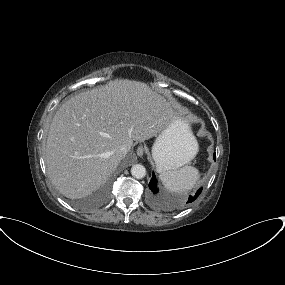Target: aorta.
<instances>
[{
    "mask_svg": "<svg viewBox=\"0 0 285 285\" xmlns=\"http://www.w3.org/2000/svg\"><path fill=\"white\" fill-rule=\"evenodd\" d=\"M131 174L136 179H142L146 175V168L141 164H135L131 168Z\"/></svg>",
    "mask_w": 285,
    "mask_h": 285,
    "instance_id": "762f6f07",
    "label": "aorta"
}]
</instances>
